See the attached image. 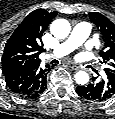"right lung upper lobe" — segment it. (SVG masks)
Listing matches in <instances>:
<instances>
[{
    "label": "right lung upper lobe",
    "instance_id": "obj_1",
    "mask_svg": "<svg viewBox=\"0 0 115 119\" xmlns=\"http://www.w3.org/2000/svg\"><path fill=\"white\" fill-rule=\"evenodd\" d=\"M57 12L37 9L31 12L14 31L5 44L2 57L4 75L30 65L40 64L39 54L43 51L39 42Z\"/></svg>",
    "mask_w": 115,
    "mask_h": 119
}]
</instances>
